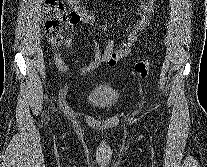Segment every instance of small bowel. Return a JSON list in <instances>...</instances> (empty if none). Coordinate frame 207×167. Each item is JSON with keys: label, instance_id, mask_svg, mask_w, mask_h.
<instances>
[{"label": "small bowel", "instance_id": "obj_1", "mask_svg": "<svg viewBox=\"0 0 207 167\" xmlns=\"http://www.w3.org/2000/svg\"><path fill=\"white\" fill-rule=\"evenodd\" d=\"M71 10L72 17L69 22V30L74 29L79 25H91L94 23H100L103 30H107L108 26L103 19L96 17L90 13L80 0H67ZM155 0H142L137 7V20L127 28V36L121 43L118 49L114 47V41L108 40L105 49L101 52L99 45L94 41V54L92 61L75 70L67 66L61 57V53L56 52L54 54V62L57 68L63 72H76L80 75H88L94 72L101 63H105L109 67H113L116 63L129 55L132 47L136 44L140 34L146 29L150 23L151 15L154 12ZM74 34H71L67 39L60 38L58 42L52 43L53 47H58L63 41L66 48H72V39Z\"/></svg>", "mask_w": 207, "mask_h": 167}]
</instances>
